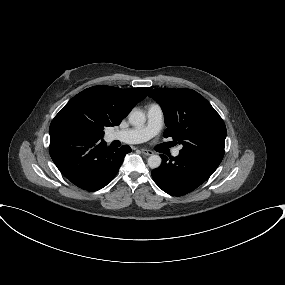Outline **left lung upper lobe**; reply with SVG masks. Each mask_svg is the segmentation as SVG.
Returning a JSON list of instances; mask_svg holds the SVG:
<instances>
[{
	"mask_svg": "<svg viewBox=\"0 0 285 285\" xmlns=\"http://www.w3.org/2000/svg\"><path fill=\"white\" fill-rule=\"evenodd\" d=\"M164 112V137L183 145L180 150L222 161L226 127L216 110L191 89H154L150 94Z\"/></svg>",
	"mask_w": 285,
	"mask_h": 285,
	"instance_id": "1",
	"label": "left lung upper lobe"
}]
</instances>
